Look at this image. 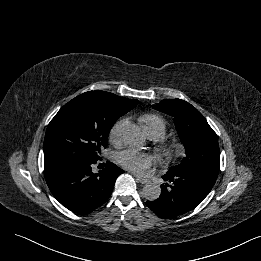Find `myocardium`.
I'll use <instances>...</instances> for the list:
<instances>
[{
	"label": "myocardium",
	"instance_id": "f54148a6",
	"mask_svg": "<svg viewBox=\"0 0 261 261\" xmlns=\"http://www.w3.org/2000/svg\"><path fill=\"white\" fill-rule=\"evenodd\" d=\"M155 149L161 159L169 160L175 154L176 146L171 142H160L156 145Z\"/></svg>",
	"mask_w": 261,
	"mask_h": 261
}]
</instances>
